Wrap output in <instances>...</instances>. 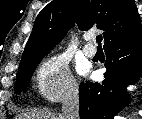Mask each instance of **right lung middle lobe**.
I'll return each instance as SVG.
<instances>
[{
    "label": "right lung middle lobe",
    "mask_w": 142,
    "mask_h": 119,
    "mask_svg": "<svg viewBox=\"0 0 142 119\" xmlns=\"http://www.w3.org/2000/svg\"><path fill=\"white\" fill-rule=\"evenodd\" d=\"M44 55L39 56L33 60H31L26 65L19 67L17 81L15 85L16 93H20L21 91L26 92L27 86L30 83V78L35 71L37 65L41 62Z\"/></svg>",
    "instance_id": "obj_1"
}]
</instances>
